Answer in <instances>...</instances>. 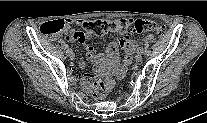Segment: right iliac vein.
Returning a JSON list of instances; mask_svg holds the SVG:
<instances>
[{
	"instance_id": "obj_1",
	"label": "right iliac vein",
	"mask_w": 207,
	"mask_h": 123,
	"mask_svg": "<svg viewBox=\"0 0 207 123\" xmlns=\"http://www.w3.org/2000/svg\"><path fill=\"white\" fill-rule=\"evenodd\" d=\"M68 57H69L71 60H73V59L75 58V55H74V53L71 51V52L68 53Z\"/></svg>"
}]
</instances>
